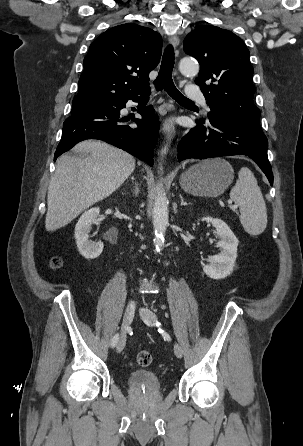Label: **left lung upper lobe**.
Returning a JSON list of instances; mask_svg holds the SVG:
<instances>
[{
    "label": "left lung upper lobe",
    "instance_id": "obj_1",
    "mask_svg": "<svg viewBox=\"0 0 303 446\" xmlns=\"http://www.w3.org/2000/svg\"><path fill=\"white\" fill-rule=\"evenodd\" d=\"M184 51L200 63L195 82L210 109L214 107L226 120L263 133L260 110L253 102V68L242 39L231 31L204 25L187 35Z\"/></svg>",
    "mask_w": 303,
    "mask_h": 446
}]
</instances>
